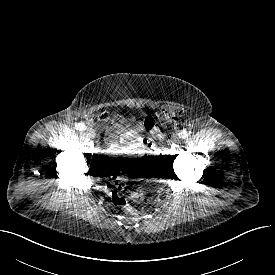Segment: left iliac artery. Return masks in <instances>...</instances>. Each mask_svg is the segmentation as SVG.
Returning <instances> with one entry per match:
<instances>
[{
	"label": "left iliac artery",
	"mask_w": 275,
	"mask_h": 275,
	"mask_svg": "<svg viewBox=\"0 0 275 275\" xmlns=\"http://www.w3.org/2000/svg\"><path fill=\"white\" fill-rule=\"evenodd\" d=\"M189 136V132L187 130H182L180 133H179V137L182 138V139H185Z\"/></svg>",
	"instance_id": "obj_1"
}]
</instances>
